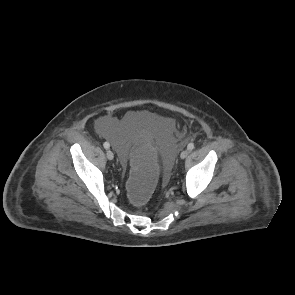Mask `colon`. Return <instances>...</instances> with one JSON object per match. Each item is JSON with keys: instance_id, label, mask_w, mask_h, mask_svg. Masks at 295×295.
<instances>
[{"instance_id": "colon-1", "label": "colon", "mask_w": 295, "mask_h": 295, "mask_svg": "<svg viewBox=\"0 0 295 295\" xmlns=\"http://www.w3.org/2000/svg\"><path fill=\"white\" fill-rule=\"evenodd\" d=\"M130 154L133 158L134 175L128 182V195L132 202L143 205L152 198L158 181L156 149L149 140L140 139L133 143Z\"/></svg>"}]
</instances>
